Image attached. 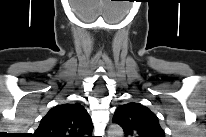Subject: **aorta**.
Returning a JSON list of instances; mask_svg holds the SVG:
<instances>
[{
	"instance_id": "762f6f07",
	"label": "aorta",
	"mask_w": 206,
	"mask_h": 137,
	"mask_svg": "<svg viewBox=\"0 0 206 137\" xmlns=\"http://www.w3.org/2000/svg\"><path fill=\"white\" fill-rule=\"evenodd\" d=\"M123 135V130L118 125H112L108 131L109 137H121Z\"/></svg>"
}]
</instances>
